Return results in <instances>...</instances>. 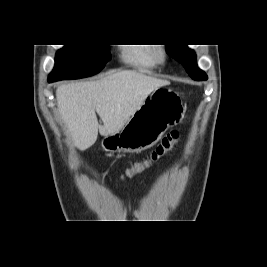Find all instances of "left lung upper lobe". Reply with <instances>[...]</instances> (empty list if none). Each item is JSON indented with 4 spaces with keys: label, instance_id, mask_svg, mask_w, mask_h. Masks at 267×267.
Masks as SVG:
<instances>
[{
    "label": "left lung upper lobe",
    "instance_id": "obj_1",
    "mask_svg": "<svg viewBox=\"0 0 267 267\" xmlns=\"http://www.w3.org/2000/svg\"><path fill=\"white\" fill-rule=\"evenodd\" d=\"M167 53L179 61L189 73V76L196 81L207 80L208 77L204 71L198 68L196 63V54L193 50L188 49L187 45H166Z\"/></svg>",
    "mask_w": 267,
    "mask_h": 267
}]
</instances>
